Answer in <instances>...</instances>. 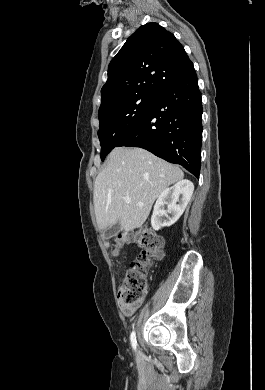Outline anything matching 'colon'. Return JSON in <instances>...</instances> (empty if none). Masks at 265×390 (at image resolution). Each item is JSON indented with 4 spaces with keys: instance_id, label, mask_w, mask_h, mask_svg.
I'll use <instances>...</instances> for the list:
<instances>
[{
    "instance_id": "obj_1",
    "label": "colon",
    "mask_w": 265,
    "mask_h": 390,
    "mask_svg": "<svg viewBox=\"0 0 265 390\" xmlns=\"http://www.w3.org/2000/svg\"><path fill=\"white\" fill-rule=\"evenodd\" d=\"M141 253L126 270L119 292L122 305H132L141 301L148 290V274L155 261L162 256L163 239L148 227H142L131 237ZM122 245V240L116 243V249Z\"/></svg>"
}]
</instances>
